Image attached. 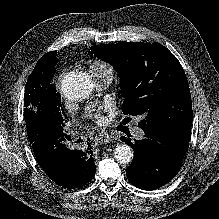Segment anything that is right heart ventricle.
<instances>
[{"label":"right heart ventricle","mask_w":219,"mask_h":219,"mask_svg":"<svg viewBox=\"0 0 219 219\" xmlns=\"http://www.w3.org/2000/svg\"><path fill=\"white\" fill-rule=\"evenodd\" d=\"M89 69H90V72H95V71H99V70H103V69H111V67L105 62L94 61L93 63H91Z\"/></svg>","instance_id":"1"}]
</instances>
